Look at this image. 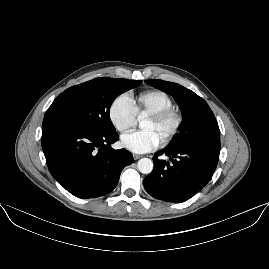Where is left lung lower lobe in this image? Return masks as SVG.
Listing matches in <instances>:
<instances>
[{
  "mask_svg": "<svg viewBox=\"0 0 269 269\" xmlns=\"http://www.w3.org/2000/svg\"><path fill=\"white\" fill-rule=\"evenodd\" d=\"M165 154L170 162L158 159ZM219 151L206 146H168L153 157L154 168L144 181L146 191L167 202H183L199 192L211 179Z\"/></svg>",
  "mask_w": 269,
  "mask_h": 269,
  "instance_id": "left-lung-lower-lobe-1",
  "label": "left lung lower lobe"
}]
</instances>
